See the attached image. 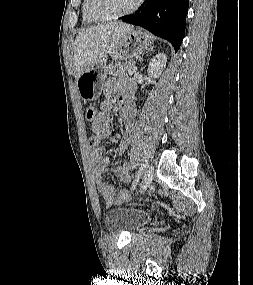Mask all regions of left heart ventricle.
Segmentation results:
<instances>
[{
  "label": "left heart ventricle",
  "instance_id": "obj_1",
  "mask_svg": "<svg viewBox=\"0 0 253 285\" xmlns=\"http://www.w3.org/2000/svg\"><path fill=\"white\" fill-rule=\"evenodd\" d=\"M135 0H95L96 10L104 15H112L130 8Z\"/></svg>",
  "mask_w": 253,
  "mask_h": 285
}]
</instances>
